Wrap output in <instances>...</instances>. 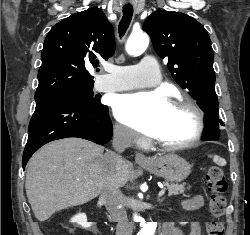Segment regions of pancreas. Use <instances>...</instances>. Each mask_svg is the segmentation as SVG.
I'll return each mask as SVG.
<instances>
[{
    "label": "pancreas",
    "mask_w": 250,
    "mask_h": 235,
    "mask_svg": "<svg viewBox=\"0 0 250 235\" xmlns=\"http://www.w3.org/2000/svg\"><path fill=\"white\" fill-rule=\"evenodd\" d=\"M166 186L168 189L169 196L182 194L186 190V187L183 184L178 185V184H168L167 183ZM187 189H190V186Z\"/></svg>",
    "instance_id": "obj_1"
}]
</instances>
